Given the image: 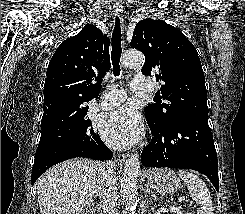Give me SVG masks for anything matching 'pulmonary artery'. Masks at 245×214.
<instances>
[{"instance_id": "e3ab8cb5", "label": "pulmonary artery", "mask_w": 245, "mask_h": 214, "mask_svg": "<svg viewBox=\"0 0 245 214\" xmlns=\"http://www.w3.org/2000/svg\"><path fill=\"white\" fill-rule=\"evenodd\" d=\"M151 81L143 77H135L131 81V89L135 93L149 94L151 91ZM126 99L123 89H113L103 94L100 104L103 108H113Z\"/></svg>"}]
</instances>
